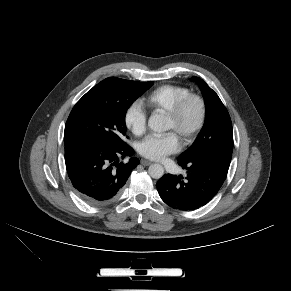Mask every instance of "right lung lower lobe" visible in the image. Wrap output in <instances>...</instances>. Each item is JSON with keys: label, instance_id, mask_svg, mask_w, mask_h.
I'll return each instance as SVG.
<instances>
[{"label": "right lung lower lobe", "instance_id": "1", "mask_svg": "<svg viewBox=\"0 0 291 291\" xmlns=\"http://www.w3.org/2000/svg\"><path fill=\"white\" fill-rule=\"evenodd\" d=\"M133 154L126 143L77 140L65 144L66 169L79 197L95 206L113 201L139 164L135 157L128 163L119 162V158Z\"/></svg>", "mask_w": 291, "mask_h": 291}]
</instances>
